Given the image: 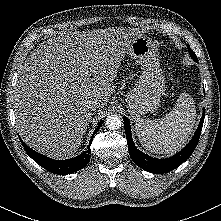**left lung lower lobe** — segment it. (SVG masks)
Here are the masks:
<instances>
[{"mask_svg":"<svg viewBox=\"0 0 221 221\" xmlns=\"http://www.w3.org/2000/svg\"><path fill=\"white\" fill-rule=\"evenodd\" d=\"M204 118H205V108L203 109L199 127L196 130L191 141L186 145V147H184L180 152H178L176 155L172 157L165 159H157L146 155L145 153L141 152L136 148V146L132 141L130 121L127 117H123L124 129H125V134L127 138L129 154L131 156V159L139 167L151 173L163 174L172 171L173 169L181 165L185 160H187L193 153L202 131Z\"/></svg>","mask_w":221,"mask_h":221,"instance_id":"left-lung-lower-lobe-1","label":"left lung lower lobe"}]
</instances>
